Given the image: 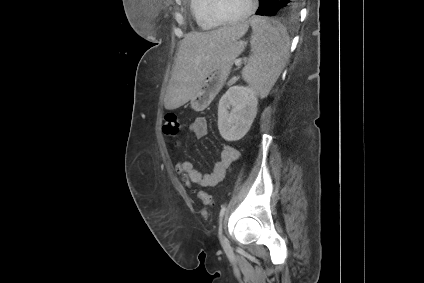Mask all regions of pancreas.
Wrapping results in <instances>:
<instances>
[{"label": "pancreas", "mask_w": 424, "mask_h": 283, "mask_svg": "<svg viewBox=\"0 0 424 283\" xmlns=\"http://www.w3.org/2000/svg\"><path fill=\"white\" fill-rule=\"evenodd\" d=\"M237 81H238V77H233L232 79H230L227 82V86H231V85L235 84Z\"/></svg>", "instance_id": "pancreas-1"}]
</instances>
